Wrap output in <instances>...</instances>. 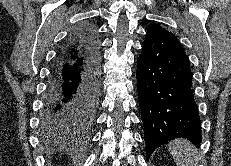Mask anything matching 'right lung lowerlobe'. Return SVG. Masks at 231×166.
Here are the masks:
<instances>
[{"label": "right lung lower lobe", "instance_id": "right-lung-lower-lobe-1", "mask_svg": "<svg viewBox=\"0 0 231 166\" xmlns=\"http://www.w3.org/2000/svg\"><path fill=\"white\" fill-rule=\"evenodd\" d=\"M99 73L97 35L92 26H82L71 33L53 65L40 120L45 135L74 136L90 127Z\"/></svg>", "mask_w": 231, "mask_h": 166}]
</instances>
